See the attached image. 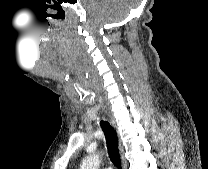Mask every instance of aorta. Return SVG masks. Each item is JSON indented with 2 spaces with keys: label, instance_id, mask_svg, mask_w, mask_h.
Segmentation results:
<instances>
[{
  "label": "aorta",
  "instance_id": "aorta-1",
  "mask_svg": "<svg viewBox=\"0 0 208 169\" xmlns=\"http://www.w3.org/2000/svg\"><path fill=\"white\" fill-rule=\"evenodd\" d=\"M99 155L94 154L87 156L81 164L80 169H98L99 167Z\"/></svg>",
  "mask_w": 208,
  "mask_h": 169
}]
</instances>
